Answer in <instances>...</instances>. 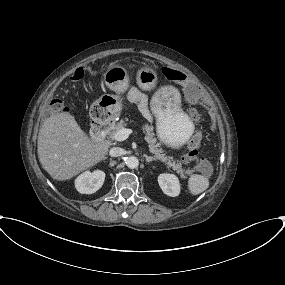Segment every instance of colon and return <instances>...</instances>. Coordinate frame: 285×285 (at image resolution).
Listing matches in <instances>:
<instances>
[{
	"label": "colon",
	"instance_id": "5ec220e1",
	"mask_svg": "<svg viewBox=\"0 0 285 285\" xmlns=\"http://www.w3.org/2000/svg\"><path fill=\"white\" fill-rule=\"evenodd\" d=\"M87 73V68L79 67L70 74L69 79L71 81H79L83 79ZM162 73L169 81L180 84L190 99L200 102L204 100L203 93L186 74L168 67H164L162 69ZM62 108V102L59 99L54 98L49 102L47 111L53 114L61 111ZM190 116L196 124H199L202 120V115L196 110L192 111ZM200 144L201 134L198 132L190 139L187 152L183 156V161L186 163H195L196 170L199 173L206 174L207 170L209 169V165L206 159L199 157Z\"/></svg>",
	"mask_w": 285,
	"mask_h": 285
}]
</instances>
